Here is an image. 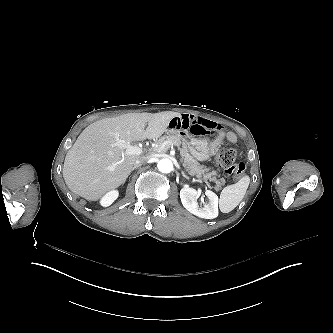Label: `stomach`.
<instances>
[{
  "mask_svg": "<svg viewBox=\"0 0 333 333\" xmlns=\"http://www.w3.org/2000/svg\"><path fill=\"white\" fill-rule=\"evenodd\" d=\"M179 131L176 128L169 129L170 133H179ZM184 139L190 142L191 154L199 161H206L217 153V150L210 143V137L185 136Z\"/></svg>",
  "mask_w": 333,
  "mask_h": 333,
  "instance_id": "stomach-1",
  "label": "stomach"
}]
</instances>
